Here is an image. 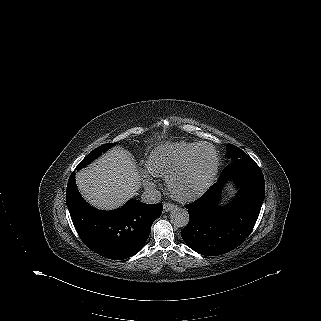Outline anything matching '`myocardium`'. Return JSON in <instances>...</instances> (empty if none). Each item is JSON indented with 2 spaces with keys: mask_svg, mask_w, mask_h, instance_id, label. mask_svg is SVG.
<instances>
[{
  "mask_svg": "<svg viewBox=\"0 0 321 321\" xmlns=\"http://www.w3.org/2000/svg\"><path fill=\"white\" fill-rule=\"evenodd\" d=\"M204 147L211 148L213 150L214 157H215L214 167H213V170H212L209 178L199 189H197L189 194H180V193L176 192L173 188V182H174L175 178L178 177L179 175H181L182 173L186 172L190 168L194 157L196 156L198 151ZM218 167H219V156H218V153H217L215 147L211 143H200L199 145L196 146V148L187 156V158L181 164H179L178 166L173 168L167 174V176H166L167 190L174 198H176L178 200H181V201L193 200V199L197 198L198 196H200L203 192H205L209 188V186L212 184V182L214 181V179L218 173Z\"/></svg>",
  "mask_w": 321,
  "mask_h": 321,
  "instance_id": "f54148a6",
  "label": "myocardium"
}]
</instances>
